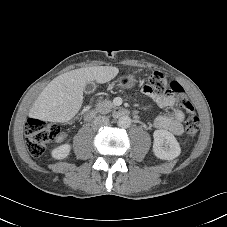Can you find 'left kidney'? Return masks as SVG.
Wrapping results in <instances>:
<instances>
[{"instance_id": "5707ae66", "label": "left kidney", "mask_w": 227, "mask_h": 227, "mask_svg": "<svg viewBox=\"0 0 227 227\" xmlns=\"http://www.w3.org/2000/svg\"><path fill=\"white\" fill-rule=\"evenodd\" d=\"M153 137V152L156 157L172 160L180 155V145L172 133L166 130H155Z\"/></svg>"}]
</instances>
